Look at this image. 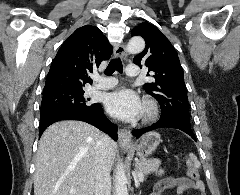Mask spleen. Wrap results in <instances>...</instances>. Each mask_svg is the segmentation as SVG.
Masks as SVG:
<instances>
[{"label": "spleen", "instance_id": "3e777b00", "mask_svg": "<svg viewBox=\"0 0 240 195\" xmlns=\"http://www.w3.org/2000/svg\"><path fill=\"white\" fill-rule=\"evenodd\" d=\"M189 155H190L192 161H194L195 167H200L201 163H200V161H198L196 155H194V153H189Z\"/></svg>", "mask_w": 240, "mask_h": 195}]
</instances>
